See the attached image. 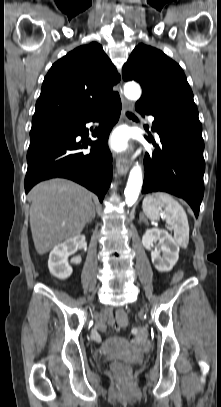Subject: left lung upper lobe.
<instances>
[{"mask_svg":"<svg viewBox=\"0 0 221 407\" xmlns=\"http://www.w3.org/2000/svg\"><path fill=\"white\" fill-rule=\"evenodd\" d=\"M125 81L140 83L143 94L135 106L159 114L177 109L197 111L182 68L162 51L139 44L123 66Z\"/></svg>","mask_w":221,"mask_h":407,"instance_id":"1","label":"left lung upper lobe"}]
</instances>
